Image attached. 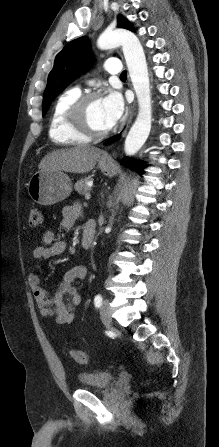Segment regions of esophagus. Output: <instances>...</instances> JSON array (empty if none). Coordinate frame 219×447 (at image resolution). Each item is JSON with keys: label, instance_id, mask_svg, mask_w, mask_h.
I'll list each match as a JSON object with an SVG mask.
<instances>
[{"label": "esophagus", "instance_id": "obj_1", "mask_svg": "<svg viewBox=\"0 0 219 447\" xmlns=\"http://www.w3.org/2000/svg\"><path fill=\"white\" fill-rule=\"evenodd\" d=\"M134 111H135V106H134V104H133V106H132L131 109H130L129 121L132 120V118H133V116H134V113H135ZM112 155L115 156V155H116L115 152H113Z\"/></svg>", "mask_w": 219, "mask_h": 447}]
</instances>
